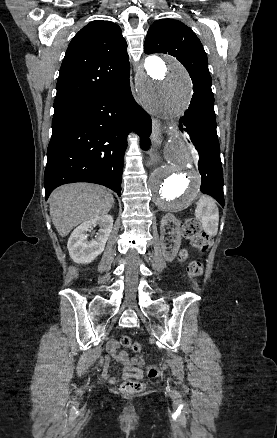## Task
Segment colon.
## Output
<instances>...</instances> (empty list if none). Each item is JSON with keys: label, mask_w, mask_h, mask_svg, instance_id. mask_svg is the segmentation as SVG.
I'll return each instance as SVG.
<instances>
[{"label": "colon", "mask_w": 277, "mask_h": 438, "mask_svg": "<svg viewBox=\"0 0 277 438\" xmlns=\"http://www.w3.org/2000/svg\"><path fill=\"white\" fill-rule=\"evenodd\" d=\"M183 236L189 240L191 245L196 249L207 250L210 246V240L204 231V228L194 218L187 219L182 226ZM181 261L186 262L188 259V253L181 251ZM188 266V278L193 281L195 278L200 277L203 274V264L199 261H192L187 264ZM120 343L124 347H132L135 352L140 351L138 344H133L129 337L123 336L120 338ZM149 378H157L160 375V368L156 365L150 366L146 372ZM121 393L127 398H144L145 383L142 380H121Z\"/></svg>", "instance_id": "5ec220e1"}]
</instances>
